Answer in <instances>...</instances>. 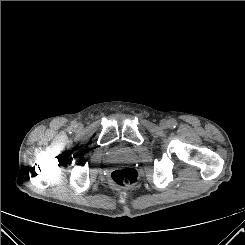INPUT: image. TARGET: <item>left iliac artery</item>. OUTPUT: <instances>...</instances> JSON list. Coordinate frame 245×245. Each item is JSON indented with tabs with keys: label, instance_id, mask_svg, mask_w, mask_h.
Instances as JSON below:
<instances>
[{
	"label": "left iliac artery",
	"instance_id": "44dca946",
	"mask_svg": "<svg viewBox=\"0 0 245 245\" xmlns=\"http://www.w3.org/2000/svg\"><path fill=\"white\" fill-rule=\"evenodd\" d=\"M168 123H169V126H170L171 128H175L176 125H177V122H176L175 119H170Z\"/></svg>",
	"mask_w": 245,
	"mask_h": 245
}]
</instances>
